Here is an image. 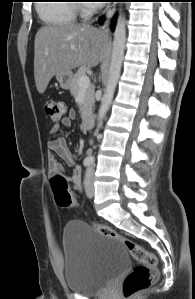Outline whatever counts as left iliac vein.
<instances>
[{"label":"left iliac vein","mask_w":195,"mask_h":299,"mask_svg":"<svg viewBox=\"0 0 195 299\" xmlns=\"http://www.w3.org/2000/svg\"><path fill=\"white\" fill-rule=\"evenodd\" d=\"M87 174H88V176L86 179L85 191H86V195L89 198H92L95 193V188H94V184H93V178L91 177V169L88 170Z\"/></svg>","instance_id":"left-iliac-vein-1"}]
</instances>
